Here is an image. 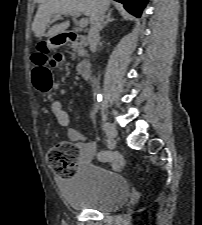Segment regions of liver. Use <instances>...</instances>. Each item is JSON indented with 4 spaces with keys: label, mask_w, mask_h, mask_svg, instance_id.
Returning <instances> with one entry per match:
<instances>
[{
    "label": "liver",
    "mask_w": 202,
    "mask_h": 225,
    "mask_svg": "<svg viewBox=\"0 0 202 225\" xmlns=\"http://www.w3.org/2000/svg\"><path fill=\"white\" fill-rule=\"evenodd\" d=\"M100 4L107 10L110 0H43L34 18L32 31L37 38L42 36L53 37L65 32L69 26V21H66L54 25L45 33L46 27L53 15H67L70 12L77 11L89 16L91 21L94 18L97 6Z\"/></svg>",
    "instance_id": "1"
}]
</instances>
